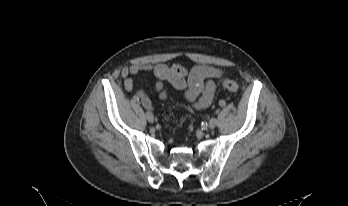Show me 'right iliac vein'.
<instances>
[{
    "label": "right iliac vein",
    "instance_id": "63e3f726",
    "mask_svg": "<svg viewBox=\"0 0 348 206\" xmlns=\"http://www.w3.org/2000/svg\"><path fill=\"white\" fill-rule=\"evenodd\" d=\"M146 118L150 123L154 122V115L151 112H146Z\"/></svg>",
    "mask_w": 348,
    "mask_h": 206
}]
</instances>
